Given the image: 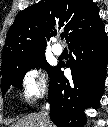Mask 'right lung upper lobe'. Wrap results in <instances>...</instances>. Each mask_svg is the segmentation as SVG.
Masks as SVG:
<instances>
[{
  "label": "right lung upper lobe",
  "mask_w": 108,
  "mask_h": 127,
  "mask_svg": "<svg viewBox=\"0 0 108 127\" xmlns=\"http://www.w3.org/2000/svg\"><path fill=\"white\" fill-rule=\"evenodd\" d=\"M99 18L92 0H41L16 16L7 34L2 65L43 54L46 39L60 29L68 43Z\"/></svg>",
  "instance_id": "obj_1"
}]
</instances>
